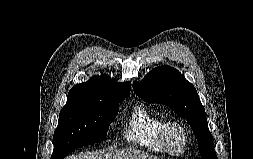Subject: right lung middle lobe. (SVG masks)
<instances>
[{
	"label": "right lung middle lobe",
	"mask_w": 253,
	"mask_h": 159,
	"mask_svg": "<svg viewBox=\"0 0 253 159\" xmlns=\"http://www.w3.org/2000/svg\"><path fill=\"white\" fill-rule=\"evenodd\" d=\"M124 99L67 101L54 132L51 159H63L74 149L104 140Z\"/></svg>",
	"instance_id": "1"
}]
</instances>
